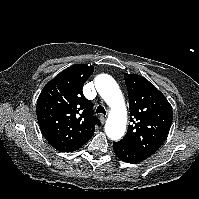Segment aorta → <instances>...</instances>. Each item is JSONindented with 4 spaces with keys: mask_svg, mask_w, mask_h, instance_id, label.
Wrapping results in <instances>:
<instances>
[{
    "mask_svg": "<svg viewBox=\"0 0 199 199\" xmlns=\"http://www.w3.org/2000/svg\"><path fill=\"white\" fill-rule=\"evenodd\" d=\"M95 87L111 108L105 124L106 135L111 140H119L125 133L127 123V111L121 90L116 81L107 74H100L95 78Z\"/></svg>",
    "mask_w": 199,
    "mask_h": 199,
    "instance_id": "762f6f07",
    "label": "aorta"
}]
</instances>
